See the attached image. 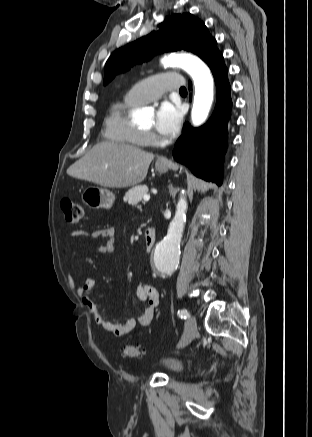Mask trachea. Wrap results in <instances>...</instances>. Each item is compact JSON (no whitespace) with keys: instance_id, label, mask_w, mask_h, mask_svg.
I'll list each match as a JSON object with an SVG mask.
<instances>
[{"instance_id":"1","label":"trachea","mask_w":312,"mask_h":437,"mask_svg":"<svg viewBox=\"0 0 312 437\" xmlns=\"http://www.w3.org/2000/svg\"><path fill=\"white\" fill-rule=\"evenodd\" d=\"M179 92H180V93H187V90H186L185 87H182V88L179 90Z\"/></svg>"}]
</instances>
